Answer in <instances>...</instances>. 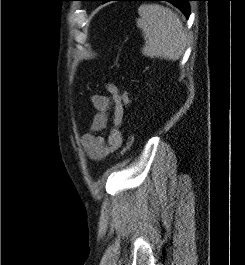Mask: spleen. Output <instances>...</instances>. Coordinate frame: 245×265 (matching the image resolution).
<instances>
[{
    "label": "spleen",
    "instance_id": "3e777b00",
    "mask_svg": "<svg viewBox=\"0 0 245 265\" xmlns=\"http://www.w3.org/2000/svg\"><path fill=\"white\" fill-rule=\"evenodd\" d=\"M138 14L137 27L142 30L145 39L143 55L178 60L187 43V32L178 15L158 4H143Z\"/></svg>",
    "mask_w": 245,
    "mask_h": 265
}]
</instances>
